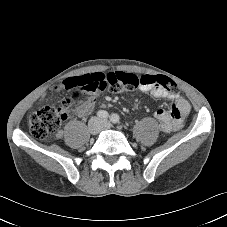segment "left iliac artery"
<instances>
[{
    "instance_id": "44dca946",
    "label": "left iliac artery",
    "mask_w": 227,
    "mask_h": 227,
    "mask_svg": "<svg viewBox=\"0 0 227 227\" xmlns=\"http://www.w3.org/2000/svg\"><path fill=\"white\" fill-rule=\"evenodd\" d=\"M110 120H111L113 123H119L120 117H119V115H117V114H112L111 117H110Z\"/></svg>"
}]
</instances>
